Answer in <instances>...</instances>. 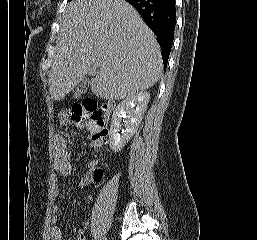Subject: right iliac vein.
Wrapping results in <instances>:
<instances>
[{
	"mask_svg": "<svg viewBox=\"0 0 257 240\" xmlns=\"http://www.w3.org/2000/svg\"><path fill=\"white\" fill-rule=\"evenodd\" d=\"M102 240H106V238H105V237H103V238H102Z\"/></svg>",
	"mask_w": 257,
	"mask_h": 240,
	"instance_id": "1",
	"label": "right iliac vein"
}]
</instances>
